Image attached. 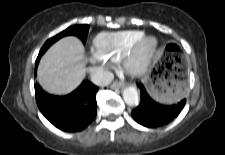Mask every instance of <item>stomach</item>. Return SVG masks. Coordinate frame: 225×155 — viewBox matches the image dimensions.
<instances>
[{
    "label": "stomach",
    "instance_id": "stomach-1",
    "mask_svg": "<svg viewBox=\"0 0 225 155\" xmlns=\"http://www.w3.org/2000/svg\"><path fill=\"white\" fill-rule=\"evenodd\" d=\"M151 96L162 103L177 102L185 94L183 75L174 68L161 67L155 62L144 77Z\"/></svg>",
    "mask_w": 225,
    "mask_h": 155
}]
</instances>
